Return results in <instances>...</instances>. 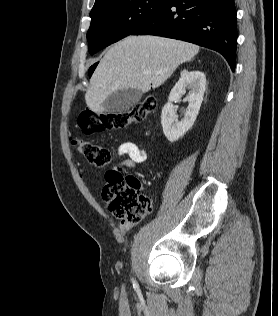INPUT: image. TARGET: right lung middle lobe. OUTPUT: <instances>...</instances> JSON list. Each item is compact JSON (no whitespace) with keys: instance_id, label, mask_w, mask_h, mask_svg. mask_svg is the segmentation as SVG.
I'll list each match as a JSON object with an SVG mask.
<instances>
[{"instance_id":"dd1d6c3e","label":"right lung middle lobe","mask_w":278,"mask_h":316,"mask_svg":"<svg viewBox=\"0 0 278 316\" xmlns=\"http://www.w3.org/2000/svg\"><path fill=\"white\" fill-rule=\"evenodd\" d=\"M165 0H107L92 8L87 33L89 53L131 35L145 24ZM93 68L89 70L92 74Z\"/></svg>"}]
</instances>
